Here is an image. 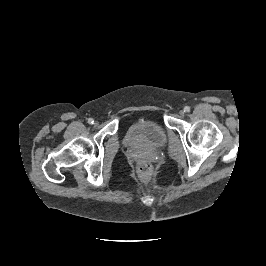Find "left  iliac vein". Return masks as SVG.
Returning <instances> with one entry per match:
<instances>
[{
	"label": "left iliac vein",
	"instance_id": "1",
	"mask_svg": "<svg viewBox=\"0 0 266 266\" xmlns=\"http://www.w3.org/2000/svg\"><path fill=\"white\" fill-rule=\"evenodd\" d=\"M184 114H185V112H184L183 110H180V111H179V115H180L181 117H183Z\"/></svg>",
	"mask_w": 266,
	"mask_h": 266
}]
</instances>
